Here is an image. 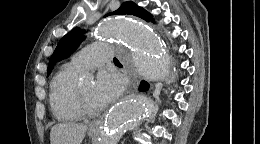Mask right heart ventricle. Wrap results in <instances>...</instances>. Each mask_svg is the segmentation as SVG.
Segmentation results:
<instances>
[{"label": "right heart ventricle", "instance_id": "e07e8e85", "mask_svg": "<svg viewBox=\"0 0 260 144\" xmlns=\"http://www.w3.org/2000/svg\"><path fill=\"white\" fill-rule=\"evenodd\" d=\"M82 72L70 62L64 64L51 81L50 105L59 121L73 122L81 118V111L76 104V91Z\"/></svg>", "mask_w": 260, "mask_h": 144}]
</instances>
